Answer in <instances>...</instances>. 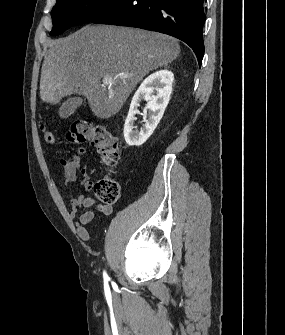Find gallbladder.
<instances>
[{"label":"gallbladder","mask_w":285,"mask_h":335,"mask_svg":"<svg viewBox=\"0 0 285 335\" xmlns=\"http://www.w3.org/2000/svg\"><path fill=\"white\" fill-rule=\"evenodd\" d=\"M81 104V98H68V100L62 104L61 108H59L60 118H68V116H71Z\"/></svg>","instance_id":"1"}]
</instances>
